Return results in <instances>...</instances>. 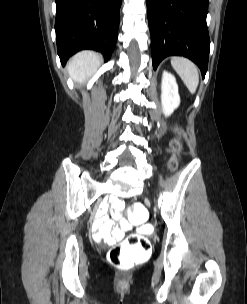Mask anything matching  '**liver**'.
Returning a JSON list of instances; mask_svg holds the SVG:
<instances>
[{
	"mask_svg": "<svg viewBox=\"0 0 247 304\" xmlns=\"http://www.w3.org/2000/svg\"><path fill=\"white\" fill-rule=\"evenodd\" d=\"M101 63L102 57L99 53L82 51L70 59L67 69L75 82L83 83L95 73Z\"/></svg>",
	"mask_w": 247,
	"mask_h": 304,
	"instance_id": "obj_1",
	"label": "liver"
}]
</instances>
